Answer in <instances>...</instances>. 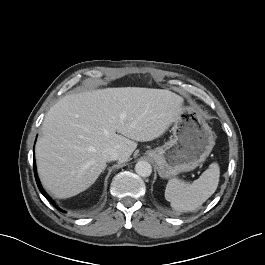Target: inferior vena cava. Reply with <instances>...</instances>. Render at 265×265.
Wrapping results in <instances>:
<instances>
[{
  "label": "inferior vena cava",
  "mask_w": 265,
  "mask_h": 265,
  "mask_svg": "<svg viewBox=\"0 0 265 265\" xmlns=\"http://www.w3.org/2000/svg\"><path fill=\"white\" fill-rule=\"evenodd\" d=\"M118 157H119L118 152H117L115 149H113V148L106 149V150L103 152V158H104L107 162L117 160Z\"/></svg>",
  "instance_id": "inferior-vena-cava-1"
}]
</instances>
